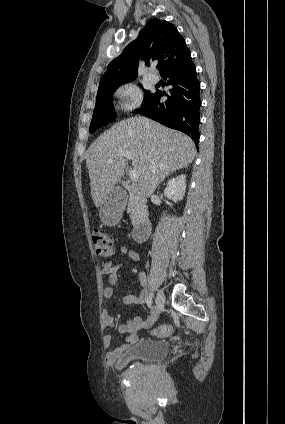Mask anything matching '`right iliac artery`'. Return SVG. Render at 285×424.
I'll return each instance as SVG.
<instances>
[{"label":"right iliac artery","instance_id":"82829eb1","mask_svg":"<svg viewBox=\"0 0 285 424\" xmlns=\"http://www.w3.org/2000/svg\"><path fill=\"white\" fill-rule=\"evenodd\" d=\"M152 303H153V294L151 293L148 299V306L151 307Z\"/></svg>","mask_w":285,"mask_h":424}]
</instances>
